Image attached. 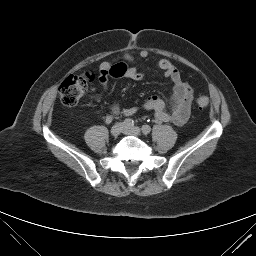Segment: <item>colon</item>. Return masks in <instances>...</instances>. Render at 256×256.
<instances>
[{"instance_id": "obj_1", "label": "colon", "mask_w": 256, "mask_h": 256, "mask_svg": "<svg viewBox=\"0 0 256 256\" xmlns=\"http://www.w3.org/2000/svg\"><path fill=\"white\" fill-rule=\"evenodd\" d=\"M93 77L86 75H70L63 80L59 87V94L62 102L67 106H73L85 95L88 84ZM209 105L207 97L202 96L197 99L199 109H204Z\"/></svg>"}]
</instances>
